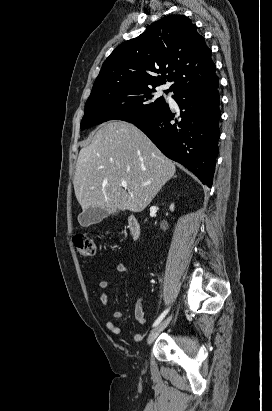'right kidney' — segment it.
Here are the masks:
<instances>
[{
    "label": "right kidney",
    "mask_w": 272,
    "mask_h": 411,
    "mask_svg": "<svg viewBox=\"0 0 272 411\" xmlns=\"http://www.w3.org/2000/svg\"><path fill=\"white\" fill-rule=\"evenodd\" d=\"M170 210L173 211L174 210V204H171L170 206Z\"/></svg>",
    "instance_id": "obj_1"
}]
</instances>
